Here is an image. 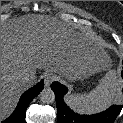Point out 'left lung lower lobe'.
<instances>
[{
	"instance_id": "obj_1",
	"label": "left lung lower lobe",
	"mask_w": 123,
	"mask_h": 123,
	"mask_svg": "<svg viewBox=\"0 0 123 123\" xmlns=\"http://www.w3.org/2000/svg\"><path fill=\"white\" fill-rule=\"evenodd\" d=\"M51 89L55 93L58 123H113L123 107V105H113L106 111L99 114L80 115L74 113L65 104L63 97L68 90L64 85L58 82H53L51 84Z\"/></svg>"
}]
</instances>
